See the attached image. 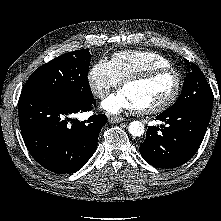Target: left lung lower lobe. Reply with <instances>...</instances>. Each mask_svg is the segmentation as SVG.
<instances>
[{
	"label": "left lung lower lobe",
	"mask_w": 221,
	"mask_h": 221,
	"mask_svg": "<svg viewBox=\"0 0 221 221\" xmlns=\"http://www.w3.org/2000/svg\"><path fill=\"white\" fill-rule=\"evenodd\" d=\"M209 106H193L177 112L164 111L156 120L167 125L149 126L140 145L142 157L156 168H175L186 163L203 141L211 118Z\"/></svg>",
	"instance_id": "1"
}]
</instances>
